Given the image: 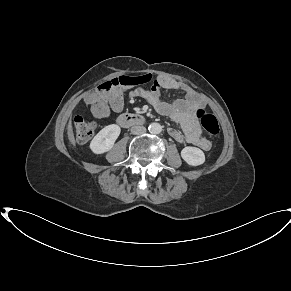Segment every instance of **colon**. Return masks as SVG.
Returning a JSON list of instances; mask_svg holds the SVG:
<instances>
[{
    "mask_svg": "<svg viewBox=\"0 0 291 291\" xmlns=\"http://www.w3.org/2000/svg\"><path fill=\"white\" fill-rule=\"evenodd\" d=\"M144 82H146V80L142 77L120 76L99 84L97 86V92L99 94L108 93L118 88H126ZM196 115L207 134L213 137L218 136L220 127L213 114L204 109H198ZM74 128L77 142L85 143L94 134L96 124L93 121L87 120L83 115H77L74 117Z\"/></svg>",
    "mask_w": 291,
    "mask_h": 291,
    "instance_id": "5ec220e1",
    "label": "colon"
}]
</instances>
